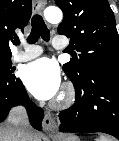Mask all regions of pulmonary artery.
<instances>
[{
  "label": "pulmonary artery",
  "instance_id": "obj_1",
  "mask_svg": "<svg viewBox=\"0 0 119 141\" xmlns=\"http://www.w3.org/2000/svg\"><path fill=\"white\" fill-rule=\"evenodd\" d=\"M53 46L57 49H64L66 44L59 39L53 40ZM42 54V48L36 45H28L26 43L21 44V49L13 54L14 62H25L34 59Z\"/></svg>",
  "mask_w": 119,
  "mask_h": 141
}]
</instances>
